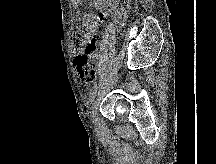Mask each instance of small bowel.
Instances as JSON below:
<instances>
[{
  "label": "small bowel",
  "instance_id": "1",
  "mask_svg": "<svg viewBox=\"0 0 216 164\" xmlns=\"http://www.w3.org/2000/svg\"><path fill=\"white\" fill-rule=\"evenodd\" d=\"M93 17V14H87L86 16H85V19H89V18H92Z\"/></svg>",
  "mask_w": 216,
  "mask_h": 164
}]
</instances>
